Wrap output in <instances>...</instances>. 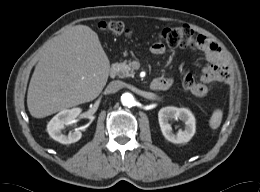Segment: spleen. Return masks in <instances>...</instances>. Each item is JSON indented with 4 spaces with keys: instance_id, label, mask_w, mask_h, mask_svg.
Wrapping results in <instances>:
<instances>
[{
    "instance_id": "spleen-1",
    "label": "spleen",
    "mask_w": 260,
    "mask_h": 192,
    "mask_svg": "<svg viewBox=\"0 0 260 192\" xmlns=\"http://www.w3.org/2000/svg\"><path fill=\"white\" fill-rule=\"evenodd\" d=\"M222 117H223L222 111L219 109L215 110L210 117L209 126L214 130L217 129L222 122Z\"/></svg>"
}]
</instances>
